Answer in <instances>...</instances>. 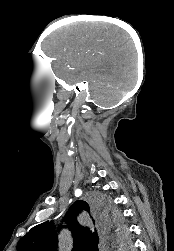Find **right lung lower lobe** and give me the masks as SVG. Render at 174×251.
I'll return each instance as SVG.
<instances>
[{
  "label": "right lung lower lobe",
  "instance_id": "1",
  "mask_svg": "<svg viewBox=\"0 0 174 251\" xmlns=\"http://www.w3.org/2000/svg\"><path fill=\"white\" fill-rule=\"evenodd\" d=\"M103 231H105V233H104V235H103V239L102 240H104V242H105V244H104V250H108V248L110 247V241L106 238V236H107V231H106V229H104L103 228ZM113 245V244H112Z\"/></svg>",
  "mask_w": 174,
  "mask_h": 251
}]
</instances>
